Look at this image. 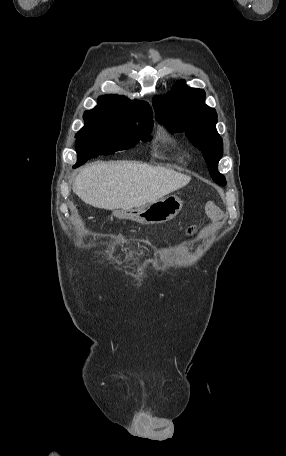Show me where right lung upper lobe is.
Masks as SVG:
<instances>
[{"mask_svg": "<svg viewBox=\"0 0 286 456\" xmlns=\"http://www.w3.org/2000/svg\"><path fill=\"white\" fill-rule=\"evenodd\" d=\"M92 111L130 120H153L152 109L147 102L130 101L124 96L118 95L100 96L98 105Z\"/></svg>", "mask_w": 286, "mask_h": 456, "instance_id": "cb5924a9", "label": "right lung upper lobe"}]
</instances>
